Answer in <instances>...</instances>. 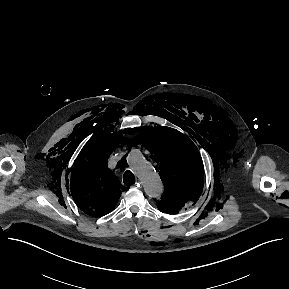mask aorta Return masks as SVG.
Instances as JSON below:
<instances>
[{
  "label": "aorta",
  "instance_id": "aorta-1",
  "mask_svg": "<svg viewBox=\"0 0 289 289\" xmlns=\"http://www.w3.org/2000/svg\"><path fill=\"white\" fill-rule=\"evenodd\" d=\"M127 162L139 177L146 195L152 198L160 197L163 192V183L143 154L138 150H133L128 154Z\"/></svg>",
  "mask_w": 289,
  "mask_h": 289
}]
</instances>
